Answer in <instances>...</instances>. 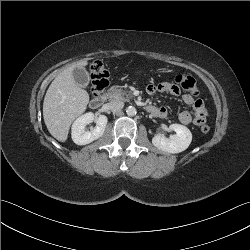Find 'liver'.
<instances>
[{
  "mask_svg": "<svg viewBox=\"0 0 250 250\" xmlns=\"http://www.w3.org/2000/svg\"><path fill=\"white\" fill-rule=\"evenodd\" d=\"M86 60L74 63L64 69L50 84L43 102V117L50 134L65 142L71 123L87 108L89 94L73 77L75 68L84 67Z\"/></svg>",
  "mask_w": 250,
  "mask_h": 250,
  "instance_id": "liver-1",
  "label": "liver"
}]
</instances>
